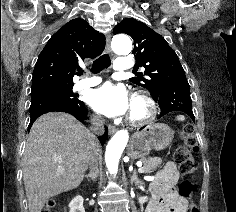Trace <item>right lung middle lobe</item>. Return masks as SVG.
Wrapping results in <instances>:
<instances>
[{
  "instance_id": "right-lung-middle-lobe-1",
  "label": "right lung middle lobe",
  "mask_w": 236,
  "mask_h": 212,
  "mask_svg": "<svg viewBox=\"0 0 236 212\" xmlns=\"http://www.w3.org/2000/svg\"><path fill=\"white\" fill-rule=\"evenodd\" d=\"M73 85L70 86H62V87H49L45 89H41L35 92H31V96L40 95L47 96L52 99L61 100L70 104H82L77 97L78 95L74 94L72 91Z\"/></svg>"
}]
</instances>
